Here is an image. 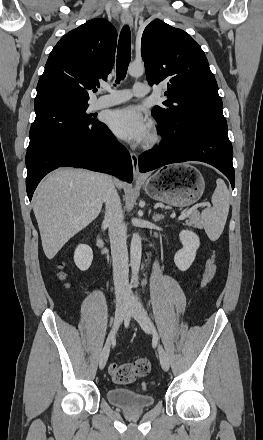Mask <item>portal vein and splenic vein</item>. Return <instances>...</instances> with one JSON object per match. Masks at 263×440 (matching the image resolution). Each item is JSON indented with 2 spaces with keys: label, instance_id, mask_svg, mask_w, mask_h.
<instances>
[{
  "label": "portal vein and splenic vein",
  "instance_id": "1",
  "mask_svg": "<svg viewBox=\"0 0 263 440\" xmlns=\"http://www.w3.org/2000/svg\"><path fill=\"white\" fill-rule=\"evenodd\" d=\"M203 206H207L209 207L210 204L209 203H197L194 206H192L191 208L185 210L184 212L181 213V215L178 217V220H184L186 217H188L194 210H196L199 207H203Z\"/></svg>",
  "mask_w": 263,
  "mask_h": 440
}]
</instances>
